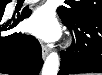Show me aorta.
Wrapping results in <instances>:
<instances>
[{"instance_id":"obj_1","label":"aorta","mask_w":102,"mask_h":75,"mask_svg":"<svg viewBox=\"0 0 102 75\" xmlns=\"http://www.w3.org/2000/svg\"><path fill=\"white\" fill-rule=\"evenodd\" d=\"M59 69V56L56 52H52L46 58L42 68V75H57Z\"/></svg>"}]
</instances>
